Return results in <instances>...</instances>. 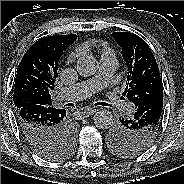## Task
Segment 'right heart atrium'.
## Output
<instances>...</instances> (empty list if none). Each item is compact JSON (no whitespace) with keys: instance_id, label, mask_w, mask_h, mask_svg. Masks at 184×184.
<instances>
[{"instance_id":"right-heart-atrium-1","label":"right heart atrium","mask_w":184,"mask_h":184,"mask_svg":"<svg viewBox=\"0 0 184 184\" xmlns=\"http://www.w3.org/2000/svg\"><path fill=\"white\" fill-rule=\"evenodd\" d=\"M79 51L77 50V51H75V52H73V53H71L70 55H69V57H68V62H72V61H74L78 56H79Z\"/></svg>"}]
</instances>
